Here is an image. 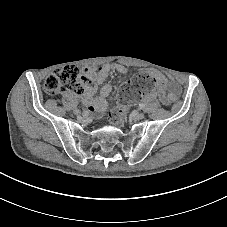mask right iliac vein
<instances>
[{"instance_id": "63e3f726", "label": "right iliac vein", "mask_w": 227, "mask_h": 227, "mask_svg": "<svg viewBox=\"0 0 227 227\" xmlns=\"http://www.w3.org/2000/svg\"><path fill=\"white\" fill-rule=\"evenodd\" d=\"M74 113L78 115L80 114V110L78 108H74Z\"/></svg>"}]
</instances>
